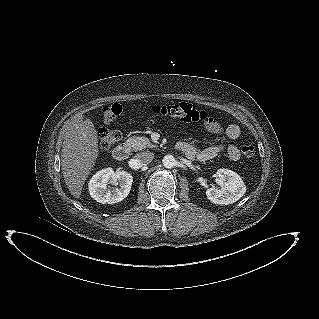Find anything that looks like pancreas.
Returning <instances> with one entry per match:
<instances>
[{
    "label": "pancreas",
    "mask_w": 319,
    "mask_h": 319,
    "mask_svg": "<svg viewBox=\"0 0 319 319\" xmlns=\"http://www.w3.org/2000/svg\"><path fill=\"white\" fill-rule=\"evenodd\" d=\"M127 143L135 151H140L146 148H153L154 145L151 144L150 140L145 137L132 136L127 140Z\"/></svg>",
    "instance_id": "obj_1"
}]
</instances>
